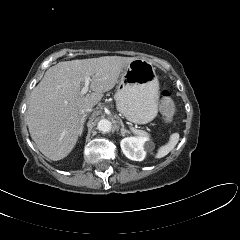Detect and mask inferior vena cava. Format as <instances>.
<instances>
[{
	"label": "inferior vena cava",
	"mask_w": 240,
	"mask_h": 240,
	"mask_svg": "<svg viewBox=\"0 0 240 240\" xmlns=\"http://www.w3.org/2000/svg\"><path fill=\"white\" fill-rule=\"evenodd\" d=\"M92 111V108L91 107H86V108H83L81 111H80V114L83 116L85 115L87 112H91Z\"/></svg>",
	"instance_id": "obj_1"
}]
</instances>
